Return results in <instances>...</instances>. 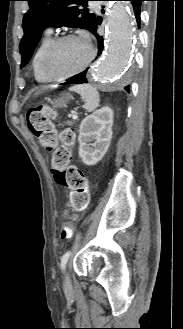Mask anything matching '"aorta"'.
I'll use <instances>...</instances> for the list:
<instances>
[{
    "label": "aorta",
    "instance_id": "obj_1",
    "mask_svg": "<svg viewBox=\"0 0 183 329\" xmlns=\"http://www.w3.org/2000/svg\"><path fill=\"white\" fill-rule=\"evenodd\" d=\"M134 43V18L126 2H114L107 16V48L94 70V77L104 85H114L124 78Z\"/></svg>",
    "mask_w": 183,
    "mask_h": 329
}]
</instances>
